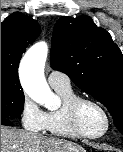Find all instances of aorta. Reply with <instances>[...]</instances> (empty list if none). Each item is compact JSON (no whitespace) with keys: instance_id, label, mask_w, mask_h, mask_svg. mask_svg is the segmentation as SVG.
<instances>
[{"instance_id":"1","label":"aorta","mask_w":123,"mask_h":152,"mask_svg":"<svg viewBox=\"0 0 123 152\" xmlns=\"http://www.w3.org/2000/svg\"><path fill=\"white\" fill-rule=\"evenodd\" d=\"M47 56V43L40 41L30 47L21 60L20 78L25 93L32 100L47 109H53L57 98L44 77Z\"/></svg>"}]
</instances>
